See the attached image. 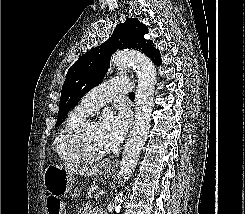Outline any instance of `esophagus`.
Listing matches in <instances>:
<instances>
[{"label":"esophagus","instance_id":"esophagus-1","mask_svg":"<svg viewBox=\"0 0 245 214\" xmlns=\"http://www.w3.org/2000/svg\"><path fill=\"white\" fill-rule=\"evenodd\" d=\"M118 164L116 163V162H113V163H110L109 164V167H115V166H117Z\"/></svg>","mask_w":245,"mask_h":214}]
</instances>
